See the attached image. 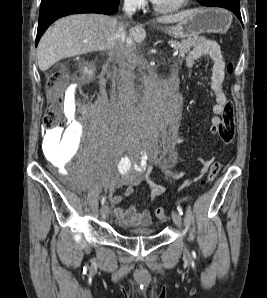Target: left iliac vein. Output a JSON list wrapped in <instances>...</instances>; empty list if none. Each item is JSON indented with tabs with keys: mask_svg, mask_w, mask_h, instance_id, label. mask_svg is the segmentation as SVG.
I'll return each instance as SVG.
<instances>
[{
	"mask_svg": "<svg viewBox=\"0 0 267 298\" xmlns=\"http://www.w3.org/2000/svg\"><path fill=\"white\" fill-rule=\"evenodd\" d=\"M172 219L174 221V223L178 226V227H182V218L181 215L179 214V212L177 211H173L172 212ZM185 253H188L187 249L185 248Z\"/></svg>",
	"mask_w": 267,
	"mask_h": 298,
	"instance_id": "left-iliac-vein-1",
	"label": "left iliac vein"
}]
</instances>
